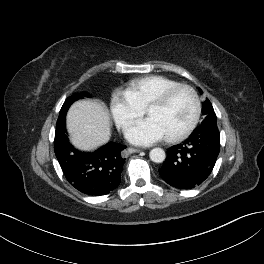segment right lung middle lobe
<instances>
[{"mask_svg": "<svg viewBox=\"0 0 264 264\" xmlns=\"http://www.w3.org/2000/svg\"><path fill=\"white\" fill-rule=\"evenodd\" d=\"M82 96H86L89 97V94L87 93H82V94H76L73 95L72 97H69L68 99H66V101L64 102L61 110H60V115L56 124V131L57 129H59L60 127H63L65 125V117H66V113L68 108L70 107V105L75 102L76 100L82 98Z\"/></svg>", "mask_w": 264, "mask_h": 264, "instance_id": "dd1d6c3e", "label": "right lung middle lobe"}]
</instances>
